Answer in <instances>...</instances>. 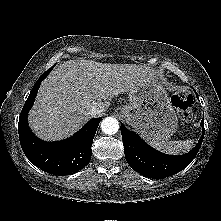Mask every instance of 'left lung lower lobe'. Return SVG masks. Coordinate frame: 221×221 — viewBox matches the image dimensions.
I'll use <instances>...</instances> for the list:
<instances>
[{
	"instance_id": "left-lung-lower-lobe-1",
	"label": "left lung lower lobe",
	"mask_w": 221,
	"mask_h": 221,
	"mask_svg": "<svg viewBox=\"0 0 221 221\" xmlns=\"http://www.w3.org/2000/svg\"><path fill=\"white\" fill-rule=\"evenodd\" d=\"M201 126L203 133L198 144L187 154L174 156L153 149L121 124L126 160L136 172L146 177L161 179L174 175L187 167L198 153L204 138V117Z\"/></svg>"
}]
</instances>
